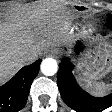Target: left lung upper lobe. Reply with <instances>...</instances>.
I'll return each instance as SVG.
<instances>
[{
	"label": "left lung upper lobe",
	"mask_w": 112,
	"mask_h": 112,
	"mask_svg": "<svg viewBox=\"0 0 112 112\" xmlns=\"http://www.w3.org/2000/svg\"><path fill=\"white\" fill-rule=\"evenodd\" d=\"M107 23H112V14H108Z\"/></svg>",
	"instance_id": "5c2ea615"
}]
</instances>
